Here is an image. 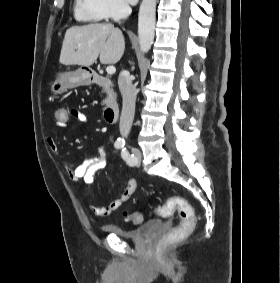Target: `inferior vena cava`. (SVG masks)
Here are the masks:
<instances>
[{
    "label": "inferior vena cava",
    "instance_id": "obj_1",
    "mask_svg": "<svg viewBox=\"0 0 280 283\" xmlns=\"http://www.w3.org/2000/svg\"><path fill=\"white\" fill-rule=\"evenodd\" d=\"M131 7L127 3H123L120 9L122 18H126L131 14ZM118 85L123 98V107L120 117V134L127 138L134 119L135 102H136V89L132 85L130 74L126 70H122L118 77Z\"/></svg>",
    "mask_w": 280,
    "mask_h": 283
}]
</instances>
